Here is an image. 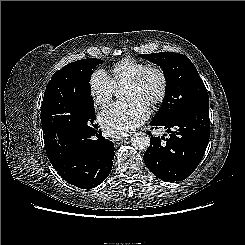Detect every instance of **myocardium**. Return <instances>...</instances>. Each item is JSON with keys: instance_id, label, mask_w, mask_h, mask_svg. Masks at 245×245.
I'll return each instance as SVG.
<instances>
[{"instance_id": "myocardium-1", "label": "myocardium", "mask_w": 245, "mask_h": 245, "mask_svg": "<svg viewBox=\"0 0 245 245\" xmlns=\"http://www.w3.org/2000/svg\"><path fill=\"white\" fill-rule=\"evenodd\" d=\"M151 74H155L159 78L160 88L158 93L152 96L148 100V102L152 105H157L165 99L168 90V78L165 71L162 68L157 66H148L138 75H136L133 79H131L126 84V86L140 87L145 83V81Z\"/></svg>"}]
</instances>
